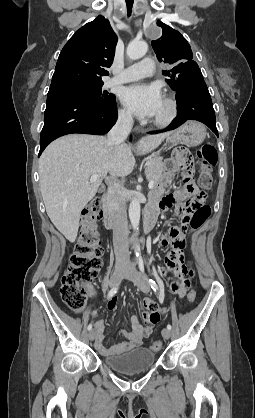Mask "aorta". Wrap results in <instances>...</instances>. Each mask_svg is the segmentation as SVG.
<instances>
[{
	"instance_id": "1",
	"label": "aorta",
	"mask_w": 255,
	"mask_h": 418,
	"mask_svg": "<svg viewBox=\"0 0 255 418\" xmlns=\"http://www.w3.org/2000/svg\"><path fill=\"white\" fill-rule=\"evenodd\" d=\"M148 50V45L146 42L143 41H133L129 43L126 53L127 56L132 59L136 60L143 57ZM129 218L131 225L134 230H138L139 223H140V202L137 198H132L129 206ZM136 254H139L140 247L136 245L135 247Z\"/></svg>"
}]
</instances>
